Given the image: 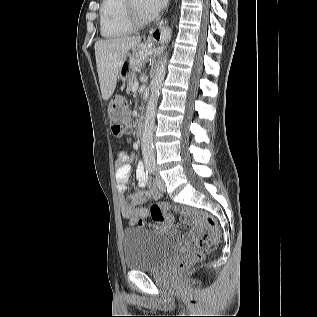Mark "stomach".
Returning a JSON list of instances; mask_svg holds the SVG:
<instances>
[{
	"mask_svg": "<svg viewBox=\"0 0 317 317\" xmlns=\"http://www.w3.org/2000/svg\"><path fill=\"white\" fill-rule=\"evenodd\" d=\"M142 60V55L133 54L123 56V65H120L115 74V91H118L119 94H127L126 88L129 86L131 73L137 72V66L142 65Z\"/></svg>",
	"mask_w": 317,
	"mask_h": 317,
	"instance_id": "obj_1",
	"label": "stomach"
}]
</instances>
